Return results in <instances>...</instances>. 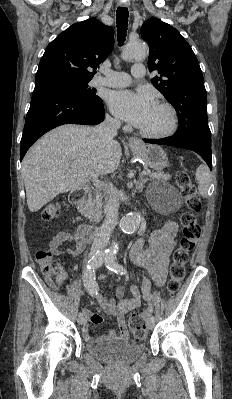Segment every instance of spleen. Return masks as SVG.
Listing matches in <instances>:
<instances>
[{
	"label": "spleen",
	"instance_id": "1",
	"mask_svg": "<svg viewBox=\"0 0 232 399\" xmlns=\"http://www.w3.org/2000/svg\"><path fill=\"white\" fill-rule=\"evenodd\" d=\"M197 182H198V190L200 196H207V192L209 190L210 186V180H211V174L208 166H199L196 170V176H195Z\"/></svg>",
	"mask_w": 232,
	"mask_h": 399
}]
</instances>
